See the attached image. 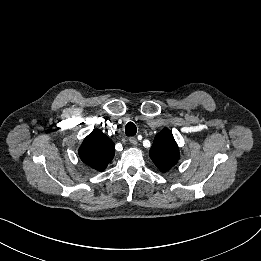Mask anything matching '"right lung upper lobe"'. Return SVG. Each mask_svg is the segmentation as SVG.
<instances>
[{
    "label": "right lung upper lobe",
    "instance_id": "right-lung-upper-lobe-1",
    "mask_svg": "<svg viewBox=\"0 0 261 261\" xmlns=\"http://www.w3.org/2000/svg\"><path fill=\"white\" fill-rule=\"evenodd\" d=\"M114 155V143L98 129L93 130L79 148L81 160L98 171L105 170Z\"/></svg>",
    "mask_w": 261,
    "mask_h": 261
}]
</instances>
